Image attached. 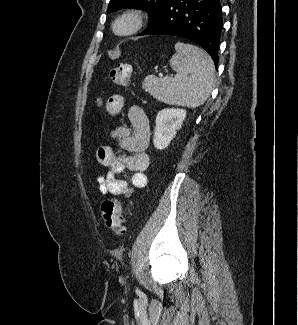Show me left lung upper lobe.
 <instances>
[{
	"instance_id": "obj_1",
	"label": "left lung upper lobe",
	"mask_w": 298,
	"mask_h": 325,
	"mask_svg": "<svg viewBox=\"0 0 298 325\" xmlns=\"http://www.w3.org/2000/svg\"><path fill=\"white\" fill-rule=\"evenodd\" d=\"M168 1L169 0H110L108 12L115 11L122 7H139L148 11L151 21Z\"/></svg>"
}]
</instances>
